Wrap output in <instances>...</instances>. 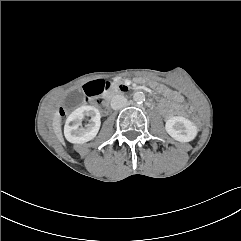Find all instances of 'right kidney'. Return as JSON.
<instances>
[{
	"label": "right kidney",
	"mask_w": 241,
	"mask_h": 241,
	"mask_svg": "<svg viewBox=\"0 0 241 241\" xmlns=\"http://www.w3.org/2000/svg\"><path fill=\"white\" fill-rule=\"evenodd\" d=\"M85 116H90L91 121L86 128L81 127ZM100 113L93 106H81L73 111L64 126L65 138L74 144H83L94 139L100 129Z\"/></svg>",
	"instance_id": "1"
}]
</instances>
